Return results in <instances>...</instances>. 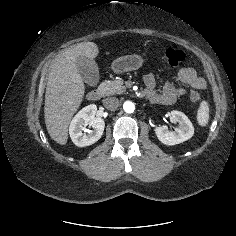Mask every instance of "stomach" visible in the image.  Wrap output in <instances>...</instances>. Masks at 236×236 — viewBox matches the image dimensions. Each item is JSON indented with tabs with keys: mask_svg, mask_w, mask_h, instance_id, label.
<instances>
[{
	"mask_svg": "<svg viewBox=\"0 0 236 236\" xmlns=\"http://www.w3.org/2000/svg\"><path fill=\"white\" fill-rule=\"evenodd\" d=\"M143 61V57L138 54L125 55L115 59L112 62L111 68L115 73L121 74L140 68Z\"/></svg>",
	"mask_w": 236,
	"mask_h": 236,
	"instance_id": "stomach-1",
	"label": "stomach"
}]
</instances>
